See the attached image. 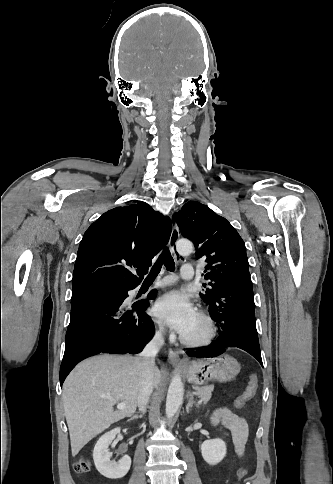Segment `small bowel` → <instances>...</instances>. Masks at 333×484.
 Listing matches in <instances>:
<instances>
[{
	"instance_id": "c3829d8e",
	"label": "small bowel",
	"mask_w": 333,
	"mask_h": 484,
	"mask_svg": "<svg viewBox=\"0 0 333 484\" xmlns=\"http://www.w3.org/2000/svg\"><path fill=\"white\" fill-rule=\"evenodd\" d=\"M211 421L213 424H221L230 431L232 442L237 456L241 457L245 451V445L248 440L249 428L247 421L233 413L228 408H219L215 410Z\"/></svg>"
}]
</instances>
